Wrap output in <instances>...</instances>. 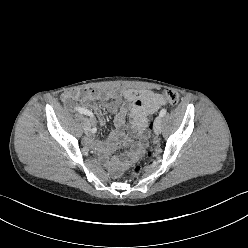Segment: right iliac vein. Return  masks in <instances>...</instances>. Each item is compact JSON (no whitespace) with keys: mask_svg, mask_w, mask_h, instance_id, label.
<instances>
[{"mask_svg":"<svg viewBox=\"0 0 248 248\" xmlns=\"http://www.w3.org/2000/svg\"><path fill=\"white\" fill-rule=\"evenodd\" d=\"M84 131H85L86 134H88L89 131H90V122L88 120H85Z\"/></svg>","mask_w":248,"mask_h":248,"instance_id":"1","label":"right iliac vein"}]
</instances>
